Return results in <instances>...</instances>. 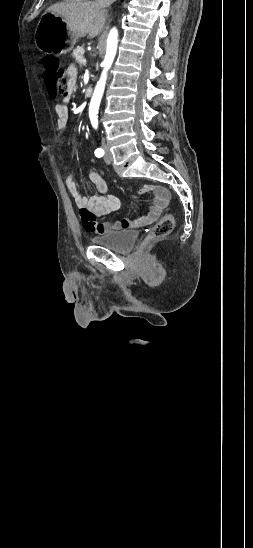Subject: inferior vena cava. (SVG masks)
I'll use <instances>...</instances> for the list:
<instances>
[{
    "label": "inferior vena cava",
    "mask_w": 253,
    "mask_h": 548,
    "mask_svg": "<svg viewBox=\"0 0 253 548\" xmlns=\"http://www.w3.org/2000/svg\"><path fill=\"white\" fill-rule=\"evenodd\" d=\"M115 0H97L99 5L103 8L109 7Z\"/></svg>",
    "instance_id": "obj_1"
}]
</instances>
